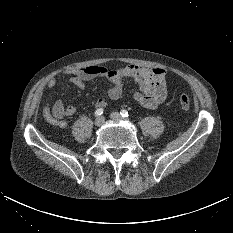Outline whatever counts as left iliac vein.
<instances>
[{
    "instance_id": "4c4485c4",
    "label": "left iliac vein",
    "mask_w": 233,
    "mask_h": 233,
    "mask_svg": "<svg viewBox=\"0 0 233 233\" xmlns=\"http://www.w3.org/2000/svg\"><path fill=\"white\" fill-rule=\"evenodd\" d=\"M110 117H111V119H113L115 121H121V120H123V117L118 112H112L111 115H110Z\"/></svg>"
}]
</instances>
